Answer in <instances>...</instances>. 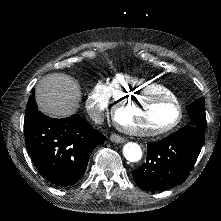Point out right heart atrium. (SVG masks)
<instances>
[{"label": "right heart atrium", "instance_id": "obj_1", "mask_svg": "<svg viewBox=\"0 0 221 221\" xmlns=\"http://www.w3.org/2000/svg\"><path fill=\"white\" fill-rule=\"evenodd\" d=\"M89 100L92 105L97 107H104L112 100L110 96V88L108 87V80L99 81L94 84L89 94Z\"/></svg>", "mask_w": 221, "mask_h": 221}]
</instances>
